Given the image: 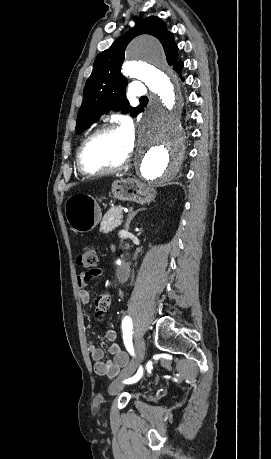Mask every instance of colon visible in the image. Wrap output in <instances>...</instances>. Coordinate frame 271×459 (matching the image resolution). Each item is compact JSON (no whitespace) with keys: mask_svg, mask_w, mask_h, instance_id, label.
<instances>
[{"mask_svg":"<svg viewBox=\"0 0 271 459\" xmlns=\"http://www.w3.org/2000/svg\"><path fill=\"white\" fill-rule=\"evenodd\" d=\"M79 266L91 270L98 266L99 258L95 249L91 246L84 248L77 258ZM112 295L108 292L99 294L95 299V316L101 318L110 308Z\"/></svg>","mask_w":271,"mask_h":459,"instance_id":"obj_1","label":"colon"}]
</instances>
